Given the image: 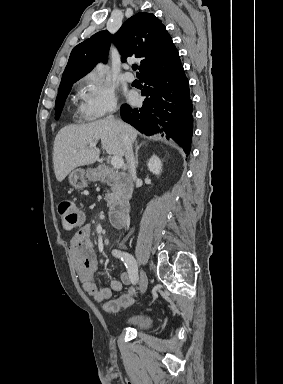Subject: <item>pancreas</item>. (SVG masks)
<instances>
[{
  "label": "pancreas",
  "instance_id": "1",
  "mask_svg": "<svg viewBox=\"0 0 283 384\" xmlns=\"http://www.w3.org/2000/svg\"><path fill=\"white\" fill-rule=\"evenodd\" d=\"M100 168H105L107 172V176H110V178H113V176H116L115 170H111V168H107V166H100ZM105 198H106L108 208H110V210H113L114 206H116V204H120L121 202L120 186H111L110 192L106 194Z\"/></svg>",
  "mask_w": 283,
  "mask_h": 384
}]
</instances>
